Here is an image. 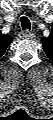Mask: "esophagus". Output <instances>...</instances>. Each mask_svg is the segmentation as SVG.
Returning a JSON list of instances; mask_svg holds the SVG:
<instances>
[{
    "instance_id": "1",
    "label": "esophagus",
    "mask_w": 53,
    "mask_h": 120,
    "mask_svg": "<svg viewBox=\"0 0 53 120\" xmlns=\"http://www.w3.org/2000/svg\"><path fill=\"white\" fill-rule=\"evenodd\" d=\"M21 37L25 39H33L35 35L31 31L25 30L21 33Z\"/></svg>"
}]
</instances>
